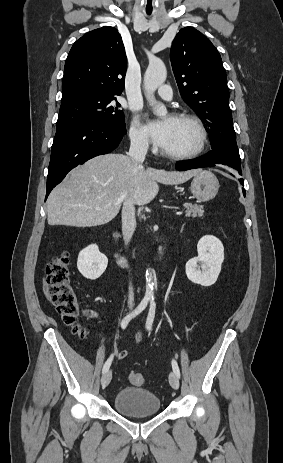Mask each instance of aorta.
Here are the masks:
<instances>
[{
	"label": "aorta",
	"instance_id": "1",
	"mask_svg": "<svg viewBox=\"0 0 283 463\" xmlns=\"http://www.w3.org/2000/svg\"><path fill=\"white\" fill-rule=\"evenodd\" d=\"M167 77V70L161 60H154L149 63V66L144 76L145 96L149 105L153 108L155 115L164 117L167 114V109L163 104L156 101L154 93L156 89L164 83ZM154 297V282L153 271H146V292L145 299H153Z\"/></svg>",
	"mask_w": 283,
	"mask_h": 463
}]
</instances>
